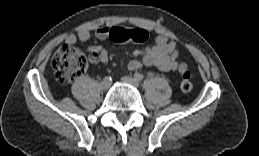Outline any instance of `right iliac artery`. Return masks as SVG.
<instances>
[{
  "mask_svg": "<svg viewBox=\"0 0 259 156\" xmlns=\"http://www.w3.org/2000/svg\"><path fill=\"white\" fill-rule=\"evenodd\" d=\"M104 80L111 81V77H105Z\"/></svg>",
  "mask_w": 259,
  "mask_h": 156,
  "instance_id": "right-iliac-artery-1",
  "label": "right iliac artery"
}]
</instances>
